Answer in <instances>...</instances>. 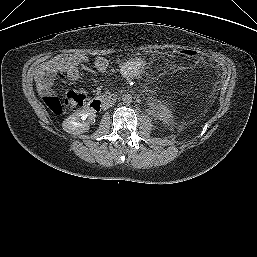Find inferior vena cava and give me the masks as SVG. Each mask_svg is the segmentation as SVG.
<instances>
[{
	"mask_svg": "<svg viewBox=\"0 0 257 257\" xmlns=\"http://www.w3.org/2000/svg\"><path fill=\"white\" fill-rule=\"evenodd\" d=\"M113 105H114V101H111L109 103H106L105 108L107 109V108H109V107H111Z\"/></svg>",
	"mask_w": 257,
	"mask_h": 257,
	"instance_id": "obj_1",
	"label": "inferior vena cava"
}]
</instances>
